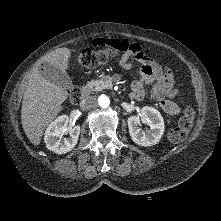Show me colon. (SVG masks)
<instances>
[{"label": "colon", "instance_id": "5ec220e1", "mask_svg": "<svg viewBox=\"0 0 221 221\" xmlns=\"http://www.w3.org/2000/svg\"><path fill=\"white\" fill-rule=\"evenodd\" d=\"M116 49L112 46H104L99 50L85 49L78 57L77 62L85 67H96L106 63L115 55ZM70 100L76 103L80 99V92L77 87H73L69 94ZM194 120V110L191 106H187L182 117L179 119L175 128L169 130L167 137L171 142L178 143L183 141L189 133Z\"/></svg>", "mask_w": 221, "mask_h": 221}]
</instances>
